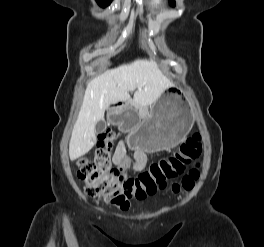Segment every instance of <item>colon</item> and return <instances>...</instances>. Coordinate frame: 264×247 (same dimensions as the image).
<instances>
[{"label":"colon","mask_w":264,"mask_h":247,"mask_svg":"<svg viewBox=\"0 0 264 247\" xmlns=\"http://www.w3.org/2000/svg\"><path fill=\"white\" fill-rule=\"evenodd\" d=\"M116 132L105 128L99 135L93 160L83 158L78 163L77 174L91 198H100L120 210L128 209L133 200H142L166 188L168 182L184 174L187 167L197 161L201 154V136L196 133L183 142L171 155L153 162L136 177H129L123 168L111 165L110 153ZM199 163L172 184L175 193L191 192L199 177Z\"/></svg>","instance_id":"colon-1"}]
</instances>
